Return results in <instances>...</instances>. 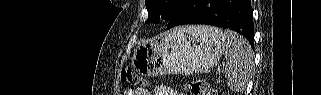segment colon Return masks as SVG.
Returning <instances> with one entry per match:
<instances>
[{"mask_svg": "<svg viewBox=\"0 0 321 95\" xmlns=\"http://www.w3.org/2000/svg\"><path fill=\"white\" fill-rule=\"evenodd\" d=\"M121 80L130 86H135V85H146L147 81L135 74L131 69H123L121 71ZM186 89L192 93V94H201V95H220L215 89L210 87L208 84L199 81V80H194L189 82L186 85Z\"/></svg>", "mask_w": 321, "mask_h": 95, "instance_id": "obj_1", "label": "colon"}]
</instances>
